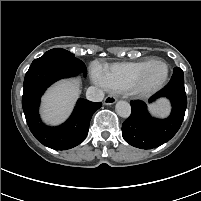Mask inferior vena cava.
Returning a JSON list of instances; mask_svg holds the SVG:
<instances>
[{"instance_id": "1", "label": "inferior vena cava", "mask_w": 201, "mask_h": 201, "mask_svg": "<svg viewBox=\"0 0 201 201\" xmlns=\"http://www.w3.org/2000/svg\"><path fill=\"white\" fill-rule=\"evenodd\" d=\"M86 98L92 102H100L104 98V92L94 86H91L86 91Z\"/></svg>"}]
</instances>
